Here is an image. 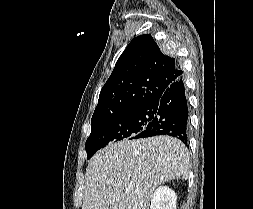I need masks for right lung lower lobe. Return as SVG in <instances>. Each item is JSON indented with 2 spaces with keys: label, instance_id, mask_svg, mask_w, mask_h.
Wrapping results in <instances>:
<instances>
[{
  "label": "right lung lower lobe",
  "instance_id": "right-lung-lower-lobe-1",
  "mask_svg": "<svg viewBox=\"0 0 253 209\" xmlns=\"http://www.w3.org/2000/svg\"><path fill=\"white\" fill-rule=\"evenodd\" d=\"M149 106L155 112L152 121L135 139L169 135L188 142V103L182 76L172 82L160 98Z\"/></svg>",
  "mask_w": 253,
  "mask_h": 209
}]
</instances>
